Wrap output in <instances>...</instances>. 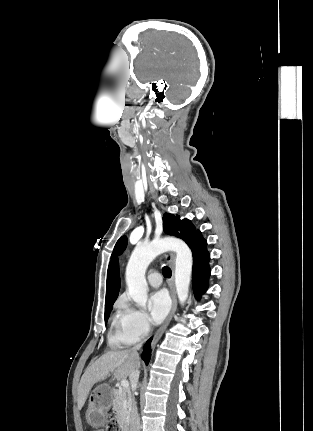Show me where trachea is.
Wrapping results in <instances>:
<instances>
[{
  "label": "trachea",
  "instance_id": "3493384b",
  "mask_svg": "<svg viewBox=\"0 0 313 431\" xmlns=\"http://www.w3.org/2000/svg\"><path fill=\"white\" fill-rule=\"evenodd\" d=\"M162 273H163L164 277H166V278L171 277V269L168 266H164L162 268Z\"/></svg>",
  "mask_w": 313,
  "mask_h": 431
}]
</instances>
